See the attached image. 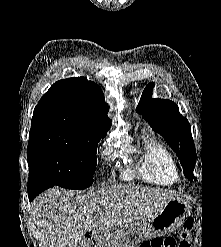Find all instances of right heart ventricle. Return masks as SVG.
<instances>
[{"mask_svg":"<svg viewBox=\"0 0 221 247\" xmlns=\"http://www.w3.org/2000/svg\"><path fill=\"white\" fill-rule=\"evenodd\" d=\"M124 180L142 179L157 185H173L178 179V170L172 153L155 137L144 134L142 155L139 161L122 172Z\"/></svg>","mask_w":221,"mask_h":247,"instance_id":"e07e8e85","label":"right heart ventricle"}]
</instances>
